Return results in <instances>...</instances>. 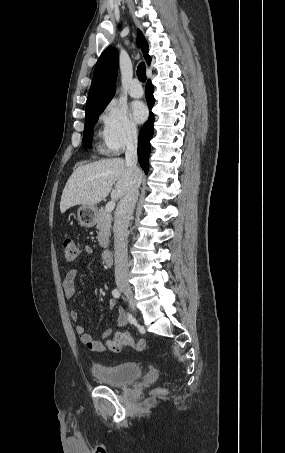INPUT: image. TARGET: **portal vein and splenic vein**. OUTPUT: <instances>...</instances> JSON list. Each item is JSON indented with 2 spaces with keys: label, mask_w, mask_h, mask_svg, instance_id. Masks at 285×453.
Returning <instances> with one entry per match:
<instances>
[{
  "label": "portal vein and splenic vein",
  "mask_w": 285,
  "mask_h": 453,
  "mask_svg": "<svg viewBox=\"0 0 285 453\" xmlns=\"http://www.w3.org/2000/svg\"><path fill=\"white\" fill-rule=\"evenodd\" d=\"M114 208H115V202L113 200V201H110V202H108L106 204L105 211L110 213V212H112L114 210Z\"/></svg>",
  "instance_id": "1"
}]
</instances>
